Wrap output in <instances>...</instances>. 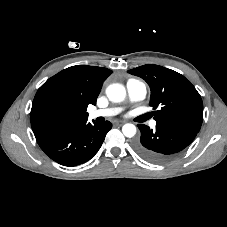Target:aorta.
Listing matches in <instances>:
<instances>
[{"instance_id": "obj_1", "label": "aorta", "mask_w": 227, "mask_h": 227, "mask_svg": "<svg viewBox=\"0 0 227 227\" xmlns=\"http://www.w3.org/2000/svg\"><path fill=\"white\" fill-rule=\"evenodd\" d=\"M106 95L110 101L119 103L125 99L126 90L122 84L113 83L106 88ZM122 132L124 136L131 138L136 134V126L131 123H127L123 125Z\"/></svg>"}]
</instances>
